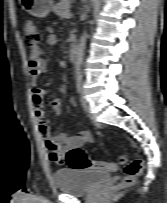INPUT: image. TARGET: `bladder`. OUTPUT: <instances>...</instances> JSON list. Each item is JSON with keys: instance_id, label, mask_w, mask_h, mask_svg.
Instances as JSON below:
<instances>
[{"instance_id": "bladder-1", "label": "bladder", "mask_w": 167, "mask_h": 203, "mask_svg": "<svg viewBox=\"0 0 167 203\" xmlns=\"http://www.w3.org/2000/svg\"><path fill=\"white\" fill-rule=\"evenodd\" d=\"M110 179L111 175L108 172L89 169H58L53 173L56 188L71 195L91 192Z\"/></svg>"}]
</instances>
